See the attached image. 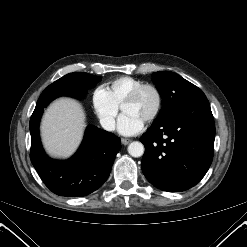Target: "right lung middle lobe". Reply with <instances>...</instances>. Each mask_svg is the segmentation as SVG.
Returning a JSON list of instances; mask_svg holds the SVG:
<instances>
[{
	"label": "right lung middle lobe",
	"mask_w": 247,
	"mask_h": 247,
	"mask_svg": "<svg viewBox=\"0 0 247 247\" xmlns=\"http://www.w3.org/2000/svg\"><path fill=\"white\" fill-rule=\"evenodd\" d=\"M99 81H101V77L88 73L73 72L61 77L43 92H86L87 89L94 87Z\"/></svg>",
	"instance_id": "1"
}]
</instances>
